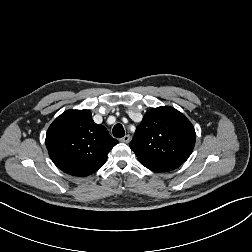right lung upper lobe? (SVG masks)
Listing matches in <instances>:
<instances>
[{
  "instance_id": "1",
  "label": "right lung upper lobe",
  "mask_w": 252,
  "mask_h": 252,
  "mask_svg": "<svg viewBox=\"0 0 252 252\" xmlns=\"http://www.w3.org/2000/svg\"><path fill=\"white\" fill-rule=\"evenodd\" d=\"M118 140L96 124L89 110H67L48 128L46 147L63 172L85 177L101 168Z\"/></svg>"
}]
</instances>
